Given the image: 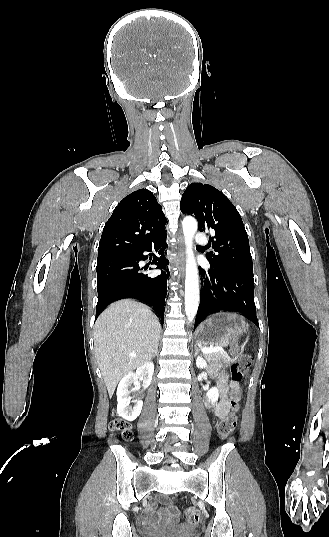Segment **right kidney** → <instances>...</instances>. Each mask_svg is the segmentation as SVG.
<instances>
[{"mask_svg": "<svg viewBox=\"0 0 329 537\" xmlns=\"http://www.w3.org/2000/svg\"><path fill=\"white\" fill-rule=\"evenodd\" d=\"M154 373V364L147 362L139 367L135 373L130 372L124 376L117 388V413L127 421L135 420L141 413L143 401L136 399L134 406L130 407V390L132 384L137 385L138 379L143 380V388H147L152 380Z\"/></svg>", "mask_w": 329, "mask_h": 537, "instance_id": "obj_1", "label": "right kidney"}]
</instances>
